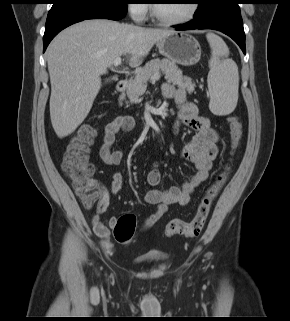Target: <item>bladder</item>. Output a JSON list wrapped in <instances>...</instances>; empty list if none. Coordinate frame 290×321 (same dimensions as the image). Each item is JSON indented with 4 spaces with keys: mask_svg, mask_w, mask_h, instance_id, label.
Instances as JSON below:
<instances>
[{
    "mask_svg": "<svg viewBox=\"0 0 290 321\" xmlns=\"http://www.w3.org/2000/svg\"><path fill=\"white\" fill-rule=\"evenodd\" d=\"M160 257H156V258H140L138 259V261H147V260H153V259H159Z\"/></svg>",
    "mask_w": 290,
    "mask_h": 321,
    "instance_id": "obj_1",
    "label": "bladder"
}]
</instances>
